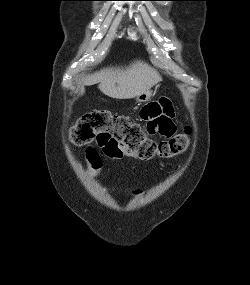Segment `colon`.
Returning <instances> with one entry per match:
<instances>
[{"instance_id":"5ec220e1","label":"colon","mask_w":250,"mask_h":285,"mask_svg":"<svg viewBox=\"0 0 250 285\" xmlns=\"http://www.w3.org/2000/svg\"><path fill=\"white\" fill-rule=\"evenodd\" d=\"M143 129L127 116L108 110H93L82 115L72 126L70 139L75 145L94 143L109 157L127 155L141 160L172 158L188 147V128L160 141L146 136Z\"/></svg>"}]
</instances>
